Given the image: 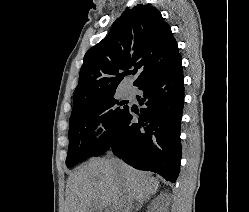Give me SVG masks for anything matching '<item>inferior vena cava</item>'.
<instances>
[{
  "mask_svg": "<svg viewBox=\"0 0 249 212\" xmlns=\"http://www.w3.org/2000/svg\"><path fill=\"white\" fill-rule=\"evenodd\" d=\"M113 162H119V160H115V158H113ZM121 196L124 200L122 212H132L131 200H128L127 196H124V194H121Z\"/></svg>",
  "mask_w": 249,
  "mask_h": 212,
  "instance_id": "1",
  "label": "inferior vena cava"
}]
</instances>
